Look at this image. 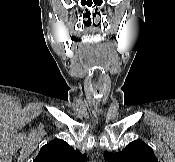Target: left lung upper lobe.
<instances>
[{"label":"left lung upper lobe","mask_w":175,"mask_h":162,"mask_svg":"<svg viewBox=\"0 0 175 162\" xmlns=\"http://www.w3.org/2000/svg\"><path fill=\"white\" fill-rule=\"evenodd\" d=\"M108 162H158L152 148L141 140L129 143L122 151H105Z\"/></svg>","instance_id":"1"}]
</instances>
